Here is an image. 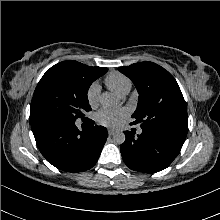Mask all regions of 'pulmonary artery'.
Listing matches in <instances>:
<instances>
[{
  "label": "pulmonary artery",
  "instance_id": "pulmonary-artery-1",
  "mask_svg": "<svg viewBox=\"0 0 220 220\" xmlns=\"http://www.w3.org/2000/svg\"><path fill=\"white\" fill-rule=\"evenodd\" d=\"M124 95H125V94H122L121 96H124ZM138 133L141 134V133H142V130L139 129V130H138Z\"/></svg>",
  "mask_w": 220,
  "mask_h": 220
}]
</instances>
